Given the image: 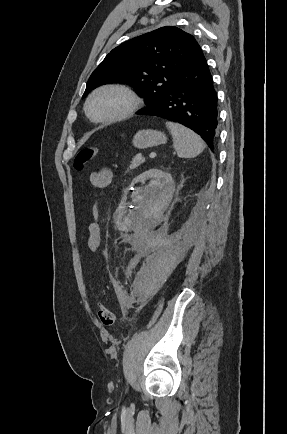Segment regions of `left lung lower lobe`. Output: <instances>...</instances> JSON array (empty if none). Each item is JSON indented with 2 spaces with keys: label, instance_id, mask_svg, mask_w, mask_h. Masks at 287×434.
I'll use <instances>...</instances> for the list:
<instances>
[{
  "label": "left lung lower lobe",
  "instance_id": "left-lung-lower-lobe-1",
  "mask_svg": "<svg viewBox=\"0 0 287 434\" xmlns=\"http://www.w3.org/2000/svg\"><path fill=\"white\" fill-rule=\"evenodd\" d=\"M178 122L199 134L210 149L217 139V94L204 55L186 67L152 106L137 112Z\"/></svg>",
  "mask_w": 287,
  "mask_h": 434
}]
</instances>
